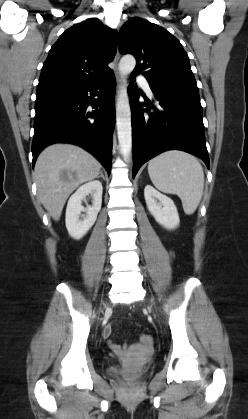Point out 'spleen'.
I'll return each instance as SVG.
<instances>
[{
  "label": "spleen",
  "instance_id": "3e777b00",
  "mask_svg": "<svg viewBox=\"0 0 248 419\" xmlns=\"http://www.w3.org/2000/svg\"><path fill=\"white\" fill-rule=\"evenodd\" d=\"M148 173L157 189L179 196L187 215L195 212L204 189V172L196 157L179 150L166 151L150 160Z\"/></svg>",
  "mask_w": 248,
  "mask_h": 419
}]
</instances>
